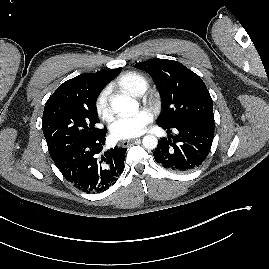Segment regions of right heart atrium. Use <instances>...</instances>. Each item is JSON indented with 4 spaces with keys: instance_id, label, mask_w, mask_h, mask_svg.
I'll use <instances>...</instances> for the list:
<instances>
[{
    "instance_id": "right-heart-atrium-1",
    "label": "right heart atrium",
    "mask_w": 269,
    "mask_h": 269,
    "mask_svg": "<svg viewBox=\"0 0 269 269\" xmlns=\"http://www.w3.org/2000/svg\"><path fill=\"white\" fill-rule=\"evenodd\" d=\"M109 91L107 88L103 89L96 98L95 107L99 116L108 120L111 118V108L109 106Z\"/></svg>"
}]
</instances>
